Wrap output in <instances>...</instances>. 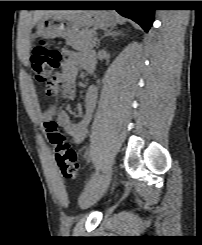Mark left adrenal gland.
<instances>
[{
	"label": "left adrenal gland",
	"instance_id": "1",
	"mask_svg": "<svg viewBox=\"0 0 202 245\" xmlns=\"http://www.w3.org/2000/svg\"><path fill=\"white\" fill-rule=\"evenodd\" d=\"M121 32L118 31H113V29H110V30H106L104 36L98 41V44H97V48L100 46V41L104 38V37H109V36H112V37H116L118 35H120Z\"/></svg>",
	"mask_w": 202,
	"mask_h": 245
}]
</instances>
